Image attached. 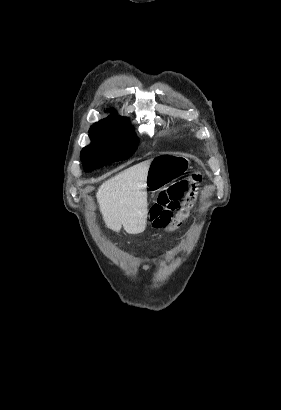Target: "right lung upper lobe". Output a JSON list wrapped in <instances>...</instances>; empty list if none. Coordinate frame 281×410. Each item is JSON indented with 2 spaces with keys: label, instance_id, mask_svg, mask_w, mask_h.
Here are the masks:
<instances>
[{
  "label": "right lung upper lobe",
  "instance_id": "right-lung-upper-lobe-1",
  "mask_svg": "<svg viewBox=\"0 0 281 410\" xmlns=\"http://www.w3.org/2000/svg\"><path fill=\"white\" fill-rule=\"evenodd\" d=\"M111 112H114V114H111L108 118L101 120L99 122H106V123H115V124H124V123H129V120L127 118L121 117L116 113L114 109L110 110Z\"/></svg>",
  "mask_w": 281,
  "mask_h": 410
}]
</instances>
